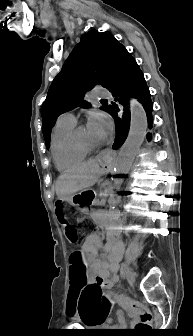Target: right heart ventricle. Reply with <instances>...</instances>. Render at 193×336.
<instances>
[{
    "mask_svg": "<svg viewBox=\"0 0 193 336\" xmlns=\"http://www.w3.org/2000/svg\"><path fill=\"white\" fill-rule=\"evenodd\" d=\"M75 124H56L51 140L52 156L59 170L72 168L83 162L88 152L79 148L73 137Z\"/></svg>",
    "mask_w": 193,
    "mask_h": 336,
    "instance_id": "e07e8e85",
    "label": "right heart ventricle"
}]
</instances>
